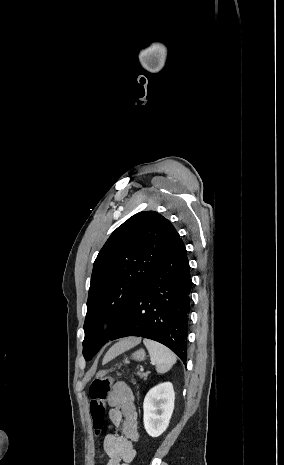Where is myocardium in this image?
<instances>
[{"label":"myocardium","mask_w":284,"mask_h":465,"mask_svg":"<svg viewBox=\"0 0 284 465\" xmlns=\"http://www.w3.org/2000/svg\"><path fill=\"white\" fill-rule=\"evenodd\" d=\"M115 325V320L111 317H108V318H105L102 322H101V328L103 331H109L111 330Z\"/></svg>","instance_id":"1"}]
</instances>
